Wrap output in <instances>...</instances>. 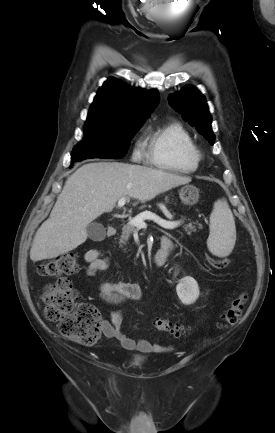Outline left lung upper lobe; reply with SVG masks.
<instances>
[{
	"label": "left lung upper lobe",
	"instance_id": "left-lung-upper-lobe-1",
	"mask_svg": "<svg viewBox=\"0 0 275 433\" xmlns=\"http://www.w3.org/2000/svg\"><path fill=\"white\" fill-rule=\"evenodd\" d=\"M170 104L182 113L191 125L213 145L215 136L211 128V115L205 97L197 89L186 87L168 98Z\"/></svg>",
	"mask_w": 275,
	"mask_h": 433
}]
</instances>
